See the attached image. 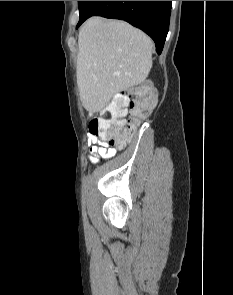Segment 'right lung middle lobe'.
Masks as SVG:
<instances>
[{"instance_id":"obj_1","label":"right lung middle lobe","mask_w":233,"mask_h":295,"mask_svg":"<svg viewBox=\"0 0 233 295\" xmlns=\"http://www.w3.org/2000/svg\"><path fill=\"white\" fill-rule=\"evenodd\" d=\"M89 1H78V7H79V14L80 17L82 16L87 4Z\"/></svg>"}]
</instances>
